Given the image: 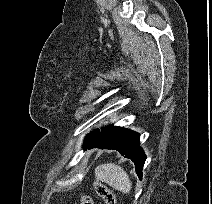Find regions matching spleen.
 Here are the masks:
<instances>
[{
	"label": "spleen",
	"instance_id": "1",
	"mask_svg": "<svg viewBox=\"0 0 212 204\" xmlns=\"http://www.w3.org/2000/svg\"><path fill=\"white\" fill-rule=\"evenodd\" d=\"M95 177L122 193L128 194L131 191L132 184L129 175L122 167L114 163L98 165L95 169Z\"/></svg>",
	"mask_w": 212,
	"mask_h": 204
}]
</instances>
